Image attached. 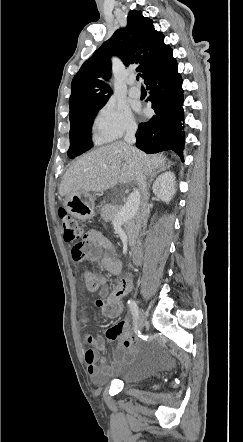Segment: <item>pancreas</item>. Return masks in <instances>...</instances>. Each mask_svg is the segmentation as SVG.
<instances>
[{
  "label": "pancreas",
  "instance_id": "obj_1",
  "mask_svg": "<svg viewBox=\"0 0 243 442\" xmlns=\"http://www.w3.org/2000/svg\"><path fill=\"white\" fill-rule=\"evenodd\" d=\"M122 208L113 204H105L100 211L101 218L105 220L106 222H112L116 214L121 210ZM124 228L129 236L130 239V245L135 244L136 237L139 232V226H138V216L137 214L134 215L132 218H129L124 221L123 223Z\"/></svg>",
  "mask_w": 243,
  "mask_h": 442
}]
</instances>
